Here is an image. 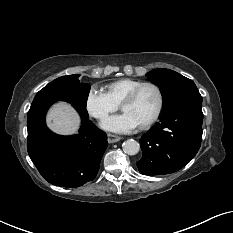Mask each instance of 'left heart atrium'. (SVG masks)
I'll list each match as a JSON object with an SVG mask.
<instances>
[{
  "instance_id": "1",
  "label": "left heart atrium",
  "mask_w": 233,
  "mask_h": 233,
  "mask_svg": "<svg viewBox=\"0 0 233 233\" xmlns=\"http://www.w3.org/2000/svg\"><path fill=\"white\" fill-rule=\"evenodd\" d=\"M140 124L138 121L129 113L124 112L120 115H116L108 118L102 124V126L109 131L113 132H129Z\"/></svg>"
}]
</instances>
